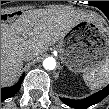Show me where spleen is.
Returning a JSON list of instances; mask_svg holds the SVG:
<instances>
[{"mask_svg":"<svg viewBox=\"0 0 109 109\" xmlns=\"http://www.w3.org/2000/svg\"><path fill=\"white\" fill-rule=\"evenodd\" d=\"M83 79L91 90L106 86L109 83V61L89 72H85Z\"/></svg>","mask_w":109,"mask_h":109,"instance_id":"3e777b00","label":"spleen"}]
</instances>
